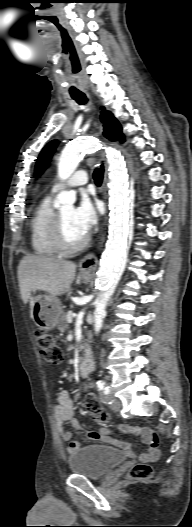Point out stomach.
<instances>
[{
	"mask_svg": "<svg viewBox=\"0 0 192 527\" xmlns=\"http://www.w3.org/2000/svg\"><path fill=\"white\" fill-rule=\"evenodd\" d=\"M91 273L81 272L85 282L91 278ZM62 314V305L56 296L48 294L38 295L31 306V317L36 326L41 330H52L56 327Z\"/></svg>",
	"mask_w": 192,
	"mask_h": 527,
	"instance_id": "1",
	"label": "stomach"
}]
</instances>
